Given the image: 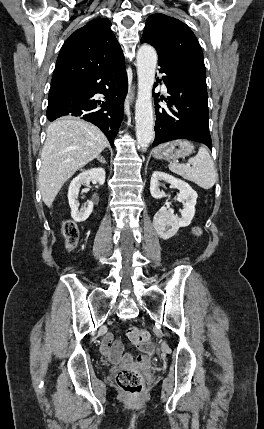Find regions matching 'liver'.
I'll return each instance as SVG.
<instances>
[{"mask_svg": "<svg viewBox=\"0 0 264 429\" xmlns=\"http://www.w3.org/2000/svg\"><path fill=\"white\" fill-rule=\"evenodd\" d=\"M46 133L38 185L43 202L50 207L63 184L97 158L108 141L95 125L72 116L55 120Z\"/></svg>", "mask_w": 264, "mask_h": 429, "instance_id": "obj_1", "label": "liver"}]
</instances>
